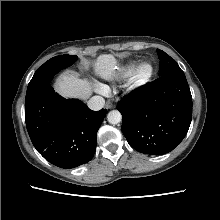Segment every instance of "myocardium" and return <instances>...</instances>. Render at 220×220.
I'll return each instance as SVG.
<instances>
[{
    "instance_id": "myocardium-1",
    "label": "myocardium",
    "mask_w": 220,
    "mask_h": 220,
    "mask_svg": "<svg viewBox=\"0 0 220 220\" xmlns=\"http://www.w3.org/2000/svg\"><path fill=\"white\" fill-rule=\"evenodd\" d=\"M144 68H147L145 73L142 71ZM153 73V64L149 61H141L131 73L127 90L131 93L141 90L151 80Z\"/></svg>"
}]
</instances>
